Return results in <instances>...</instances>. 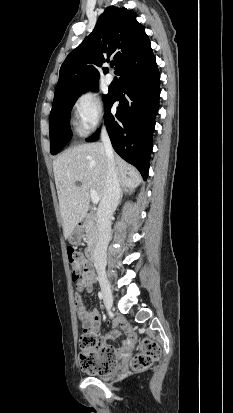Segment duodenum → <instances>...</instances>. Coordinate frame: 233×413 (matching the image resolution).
I'll list each match as a JSON object with an SVG mask.
<instances>
[{"label": "duodenum", "instance_id": "duodenum-1", "mask_svg": "<svg viewBox=\"0 0 233 413\" xmlns=\"http://www.w3.org/2000/svg\"><path fill=\"white\" fill-rule=\"evenodd\" d=\"M78 226H79V227H82V226H83V221H80V222L78 223ZM87 256H88V259H89V260H91V261L94 260V258H95V248H94V247H91V248L88 250Z\"/></svg>", "mask_w": 233, "mask_h": 413}]
</instances>
